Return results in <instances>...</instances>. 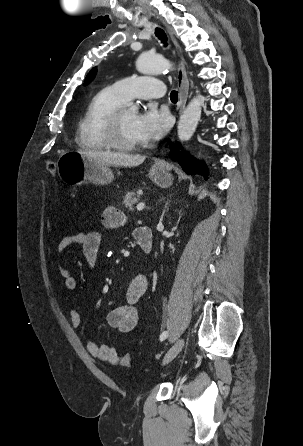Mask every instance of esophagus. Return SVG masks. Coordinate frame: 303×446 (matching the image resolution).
<instances>
[{
	"label": "esophagus",
	"mask_w": 303,
	"mask_h": 446,
	"mask_svg": "<svg viewBox=\"0 0 303 446\" xmlns=\"http://www.w3.org/2000/svg\"><path fill=\"white\" fill-rule=\"evenodd\" d=\"M167 31L171 37L172 42L174 43L176 50L180 56V60H179V66H178V72H177V85L179 88V114H181L185 108L186 102H187V98H188V91H189V81L187 78V74H186V70H185V65H184V60L183 57L180 55V46L172 32V30H170L169 28H167ZM157 165L159 166H163L164 162L163 161H159L157 163Z\"/></svg>",
	"instance_id": "esophagus-1"
}]
</instances>
